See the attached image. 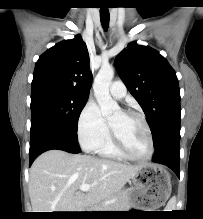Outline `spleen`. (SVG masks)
<instances>
[{"label":"spleen","mask_w":203,"mask_h":219,"mask_svg":"<svg viewBox=\"0 0 203 219\" xmlns=\"http://www.w3.org/2000/svg\"><path fill=\"white\" fill-rule=\"evenodd\" d=\"M175 205H176V198L173 197L169 200L168 204H167V208L170 209V211L173 209H175Z\"/></svg>","instance_id":"spleen-1"}]
</instances>
